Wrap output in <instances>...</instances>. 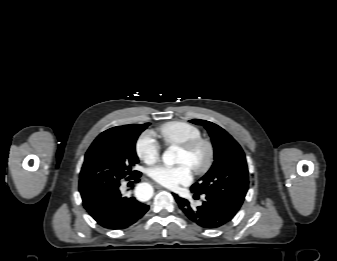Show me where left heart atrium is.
I'll use <instances>...</instances> for the list:
<instances>
[{
	"instance_id": "obj_1",
	"label": "left heart atrium",
	"mask_w": 337,
	"mask_h": 261,
	"mask_svg": "<svg viewBox=\"0 0 337 261\" xmlns=\"http://www.w3.org/2000/svg\"><path fill=\"white\" fill-rule=\"evenodd\" d=\"M149 175L157 183L169 188L188 184L192 180V171L187 164L158 165L149 170Z\"/></svg>"
}]
</instances>
